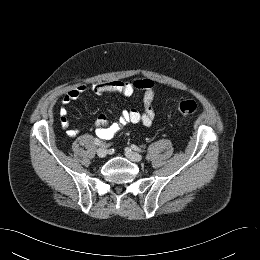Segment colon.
<instances>
[{"label": "colon", "mask_w": 260, "mask_h": 260, "mask_svg": "<svg viewBox=\"0 0 260 260\" xmlns=\"http://www.w3.org/2000/svg\"><path fill=\"white\" fill-rule=\"evenodd\" d=\"M178 111L183 115H192L196 112L197 105L193 100L182 99L177 103Z\"/></svg>", "instance_id": "obj_1"}]
</instances>
